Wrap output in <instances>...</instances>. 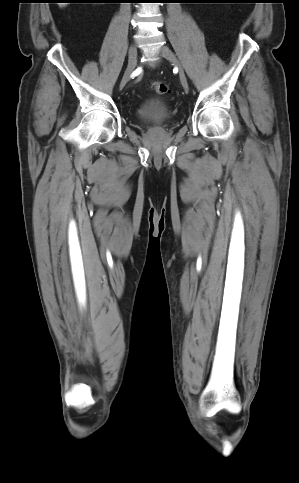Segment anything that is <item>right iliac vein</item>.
Here are the masks:
<instances>
[{
  "mask_svg": "<svg viewBox=\"0 0 299 483\" xmlns=\"http://www.w3.org/2000/svg\"><path fill=\"white\" fill-rule=\"evenodd\" d=\"M136 62H137V48L135 45H131L128 50V65L122 77L120 88H123L128 82V80L130 79V76L136 67Z\"/></svg>",
  "mask_w": 299,
  "mask_h": 483,
  "instance_id": "63e3f726",
  "label": "right iliac vein"
}]
</instances>
